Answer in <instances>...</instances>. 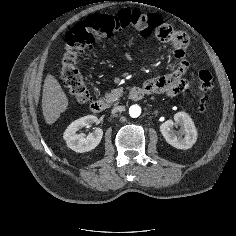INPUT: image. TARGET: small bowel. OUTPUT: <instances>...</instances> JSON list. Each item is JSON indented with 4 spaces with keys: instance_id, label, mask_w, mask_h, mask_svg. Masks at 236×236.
<instances>
[{
    "instance_id": "c3829d8e",
    "label": "small bowel",
    "mask_w": 236,
    "mask_h": 236,
    "mask_svg": "<svg viewBox=\"0 0 236 236\" xmlns=\"http://www.w3.org/2000/svg\"><path fill=\"white\" fill-rule=\"evenodd\" d=\"M183 37L182 42H174V55L177 61V68L171 74L161 76L158 78L147 81L143 88L146 94H167L175 95L187 88V83L183 76L189 67V62L185 57L188 38L185 34L181 33ZM131 59L129 53H126L122 57L123 62H127Z\"/></svg>"
}]
</instances>
